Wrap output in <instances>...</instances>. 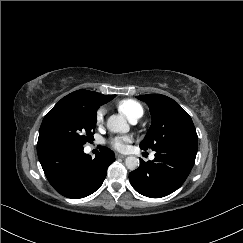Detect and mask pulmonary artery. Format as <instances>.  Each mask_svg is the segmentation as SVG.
I'll return each mask as SVG.
<instances>
[{"instance_id":"e3ab8cb5","label":"pulmonary artery","mask_w":243,"mask_h":243,"mask_svg":"<svg viewBox=\"0 0 243 243\" xmlns=\"http://www.w3.org/2000/svg\"><path fill=\"white\" fill-rule=\"evenodd\" d=\"M139 119H134V120H132V121H130L132 124H135V123H137V121H138ZM152 158H153V156H152Z\"/></svg>"}]
</instances>
